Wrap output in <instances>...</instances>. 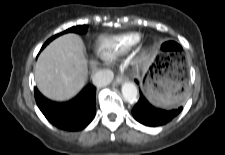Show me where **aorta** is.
<instances>
[{
	"label": "aorta",
	"instance_id": "762f6f07",
	"mask_svg": "<svg viewBox=\"0 0 225 155\" xmlns=\"http://www.w3.org/2000/svg\"><path fill=\"white\" fill-rule=\"evenodd\" d=\"M122 95L124 99L129 103H134L137 100L138 90L135 84L131 82H125L122 85Z\"/></svg>",
	"mask_w": 225,
	"mask_h": 155
}]
</instances>
